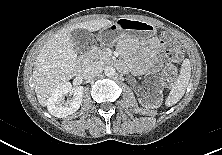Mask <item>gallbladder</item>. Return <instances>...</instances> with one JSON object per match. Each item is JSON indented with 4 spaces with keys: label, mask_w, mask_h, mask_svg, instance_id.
<instances>
[{
    "label": "gallbladder",
    "mask_w": 222,
    "mask_h": 155,
    "mask_svg": "<svg viewBox=\"0 0 222 155\" xmlns=\"http://www.w3.org/2000/svg\"><path fill=\"white\" fill-rule=\"evenodd\" d=\"M70 41L77 52L85 53L92 47L93 37L85 29H75L71 33Z\"/></svg>",
    "instance_id": "gallbladder-1"
}]
</instances>
